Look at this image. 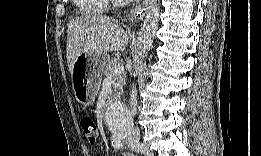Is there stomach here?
Returning a JSON list of instances; mask_svg holds the SVG:
<instances>
[{
  "instance_id": "0dacf381",
  "label": "stomach",
  "mask_w": 261,
  "mask_h": 156,
  "mask_svg": "<svg viewBox=\"0 0 261 156\" xmlns=\"http://www.w3.org/2000/svg\"><path fill=\"white\" fill-rule=\"evenodd\" d=\"M80 56L74 65L72 84L77 101L84 106H89L95 101L101 83V70L109 58L101 54ZM82 59L84 64L80 62Z\"/></svg>"
}]
</instances>
